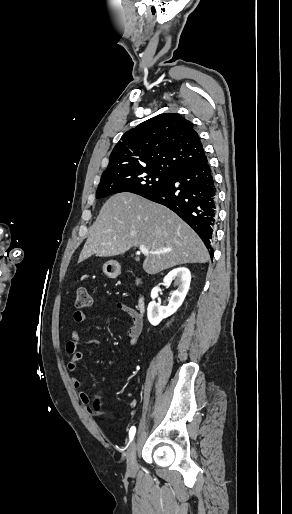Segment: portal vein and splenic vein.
<instances>
[{"label": "portal vein and splenic vein", "instance_id": "1", "mask_svg": "<svg viewBox=\"0 0 292 514\" xmlns=\"http://www.w3.org/2000/svg\"><path fill=\"white\" fill-rule=\"evenodd\" d=\"M139 250L140 252H142V254H165V252H171V250H161V252H150V250H147L145 246H140Z\"/></svg>", "mask_w": 292, "mask_h": 514}]
</instances>
